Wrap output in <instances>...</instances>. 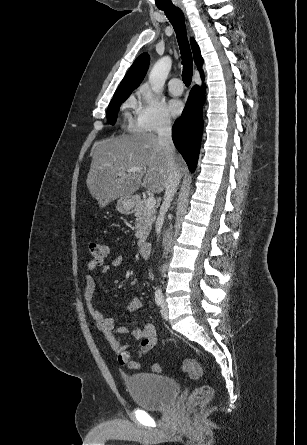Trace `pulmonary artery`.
Here are the masks:
<instances>
[{
    "instance_id": "pulmonary-artery-1",
    "label": "pulmonary artery",
    "mask_w": 307,
    "mask_h": 445,
    "mask_svg": "<svg viewBox=\"0 0 307 445\" xmlns=\"http://www.w3.org/2000/svg\"><path fill=\"white\" fill-rule=\"evenodd\" d=\"M177 80H180V75H178L177 73H173L171 79V82H173L169 86V90L175 96H179L183 93L182 83Z\"/></svg>"
}]
</instances>
